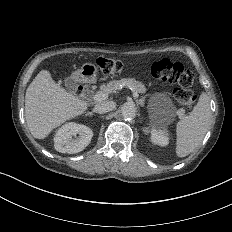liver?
<instances>
[{
	"mask_svg": "<svg viewBox=\"0 0 232 232\" xmlns=\"http://www.w3.org/2000/svg\"><path fill=\"white\" fill-rule=\"evenodd\" d=\"M89 103L58 85L49 70L43 69L25 93V118L31 135L47 139L63 123L83 115Z\"/></svg>",
	"mask_w": 232,
	"mask_h": 232,
	"instance_id": "obj_1",
	"label": "liver"
}]
</instances>
